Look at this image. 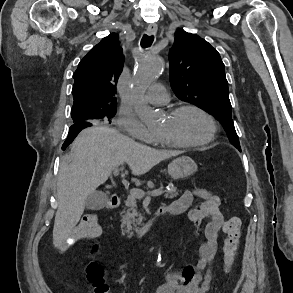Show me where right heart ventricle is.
Here are the masks:
<instances>
[{
    "label": "right heart ventricle",
    "mask_w": 293,
    "mask_h": 293,
    "mask_svg": "<svg viewBox=\"0 0 293 293\" xmlns=\"http://www.w3.org/2000/svg\"><path fill=\"white\" fill-rule=\"evenodd\" d=\"M154 145L160 146V147H167L170 146L169 144L162 141L159 137H156L155 140L152 142Z\"/></svg>",
    "instance_id": "right-heart-ventricle-1"
}]
</instances>
